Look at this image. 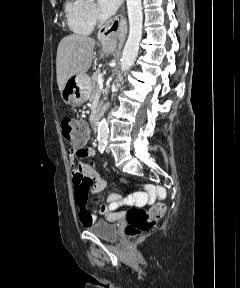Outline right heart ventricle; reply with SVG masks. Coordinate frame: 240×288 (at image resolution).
<instances>
[{
    "label": "right heart ventricle",
    "mask_w": 240,
    "mask_h": 288,
    "mask_svg": "<svg viewBox=\"0 0 240 288\" xmlns=\"http://www.w3.org/2000/svg\"><path fill=\"white\" fill-rule=\"evenodd\" d=\"M65 17L71 31L80 35H87L94 28V21L87 12L86 0H67Z\"/></svg>",
    "instance_id": "right-heart-ventricle-1"
}]
</instances>
